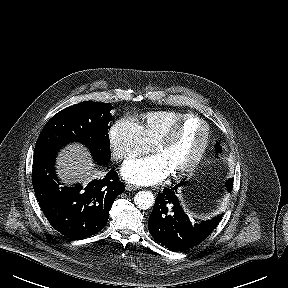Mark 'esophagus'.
I'll use <instances>...</instances> for the list:
<instances>
[{"instance_id":"obj_1","label":"esophagus","mask_w":288,"mask_h":288,"mask_svg":"<svg viewBox=\"0 0 288 288\" xmlns=\"http://www.w3.org/2000/svg\"><path fill=\"white\" fill-rule=\"evenodd\" d=\"M139 188L137 187V186H134V185H132V184H127L126 185V190L127 191H136V190H138Z\"/></svg>"}]
</instances>
